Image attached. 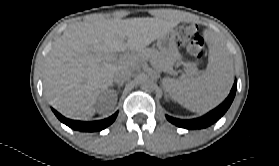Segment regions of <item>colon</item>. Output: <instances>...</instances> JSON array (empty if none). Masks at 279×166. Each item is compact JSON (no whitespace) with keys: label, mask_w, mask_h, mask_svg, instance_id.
Masks as SVG:
<instances>
[{"label":"colon","mask_w":279,"mask_h":166,"mask_svg":"<svg viewBox=\"0 0 279 166\" xmlns=\"http://www.w3.org/2000/svg\"><path fill=\"white\" fill-rule=\"evenodd\" d=\"M179 45L194 58L201 60L206 55L204 40L196 25H182L177 29Z\"/></svg>","instance_id":"obj_1"}]
</instances>
